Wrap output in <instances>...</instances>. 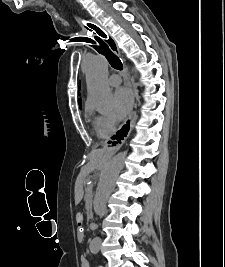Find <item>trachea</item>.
Listing matches in <instances>:
<instances>
[{"mask_svg": "<svg viewBox=\"0 0 225 267\" xmlns=\"http://www.w3.org/2000/svg\"><path fill=\"white\" fill-rule=\"evenodd\" d=\"M87 26L90 28V31L94 30L96 33L103 37L106 38V34L96 25L88 23ZM88 29V28H87ZM95 36L94 40L90 39L88 42L91 43L92 47L97 50L100 54L104 55L107 60L109 61L110 65L117 69V70H122L123 65L120 61V59L110 50L108 45L99 37ZM109 44L111 43V40H106Z\"/></svg>", "mask_w": 225, "mask_h": 267, "instance_id": "3493384b", "label": "trachea"}]
</instances>
